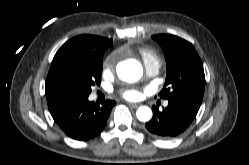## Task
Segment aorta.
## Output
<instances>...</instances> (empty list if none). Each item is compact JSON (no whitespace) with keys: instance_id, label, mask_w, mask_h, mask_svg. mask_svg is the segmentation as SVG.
Returning <instances> with one entry per match:
<instances>
[{"instance_id":"762f6f07","label":"aorta","mask_w":249,"mask_h":165,"mask_svg":"<svg viewBox=\"0 0 249 165\" xmlns=\"http://www.w3.org/2000/svg\"><path fill=\"white\" fill-rule=\"evenodd\" d=\"M143 74V69L141 64L134 60L129 59L126 61H123L118 64L117 66V75L121 80L127 81V82H136L138 81ZM136 116L138 120L142 122H147L152 117V111L147 106H141L138 108L136 112Z\"/></svg>"}]
</instances>
